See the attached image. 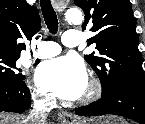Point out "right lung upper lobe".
Segmentation results:
<instances>
[{
  "label": "right lung upper lobe",
  "instance_id": "1",
  "mask_svg": "<svg viewBox=\"0 0 145 124\" xmlns=\"http://www.w3.org/2000/svg\"><path fill=\"white\" fill-rule=\"evenodd\" d=\"M35 6L25 0H0V52L20 55L26 48L20 39H30L40 30Z\"/></svg>",
  "mask_w": 145,
  "mask_h": 124
}]
</instances>
